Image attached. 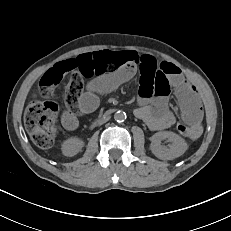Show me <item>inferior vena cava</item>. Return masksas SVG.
Listing matches in <instances>:
<instances>
[{
	"label": "inferior vena cava",
	"mask_w": 231,
	"mask_h": 231,
	"mask_svg": "<svg viewBox=\"0 0 231 231\" xmlns=\"http://www.w3.org/2000/svg\"><path fill=\"white\" fill-rule=\"evenodd\" d=\"M107 120H109V118L107 117V118H105L104 120H103V122H105V121H107Z\"/></svg>",
	"instance_id": "602c4592"
}]
</instances>
